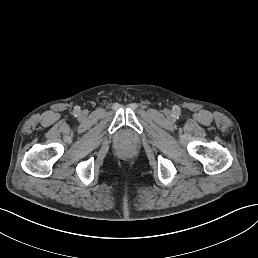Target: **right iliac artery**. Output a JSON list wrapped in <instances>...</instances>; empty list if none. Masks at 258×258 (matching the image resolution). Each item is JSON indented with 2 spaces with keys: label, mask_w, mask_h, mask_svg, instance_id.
Returning <instances> with one entry per match:
<instances>
[{
  "label": "right iliac artery",
  "mask_w": 258,
  "mask_h": 258,
  "mask_svg": "<svg viewBox=\"0 0 258 258\" xmlns=\"http://www.w3.org/2000/svg\"><path fill=\"white\" fill-rule=\"evenodd\" d=\"M80 113H81V108L79 106H75L74 110H73V115L75 117H78L80 115Z\"/></svg>",
  "instance_id": "1"
}]
</instances>
